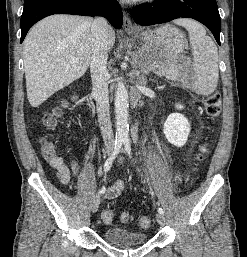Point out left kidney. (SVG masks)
<instances>
[{"mask_svg":"<svg viewBox=\"0 0 247 257\" xmlns=\"http://www.w3.org/2000/svg\"><path fill=\"white\" fill-rule=\"evenodd\" d=\"M176 108L181 110L184 107L181 104H176ZM163 131L171 144L176 147H183L190 133V123L182 114L172 113L165 121Z\"/></svg>","mask_w":247,"mask_h":257,"instance_id":"1","label":"left kidney"}]
</instances>
